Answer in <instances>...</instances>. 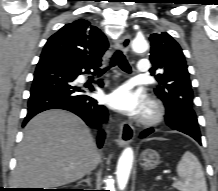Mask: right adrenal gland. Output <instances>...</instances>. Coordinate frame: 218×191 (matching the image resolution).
<instances>
[{
	"instance_id": "2a0ac1e0",
	"label": "right adrenal gland",
	"mask_w": 218,
	"mask_h": 191,
	"mask_svg": "<svg viewBox=\"0 0 218 191\" xmlns=\"http://www.w3.org/2000/svg\"><path fill=\"white\" fill-rule=\"evenodd\" d=\"M90 175H91V172L88 173V174H87V178L84 179V180H81V181L79 182V184H80V183H83V182H86V183L88 184V186H91Z\"/></svg>"
}]
</instances>
